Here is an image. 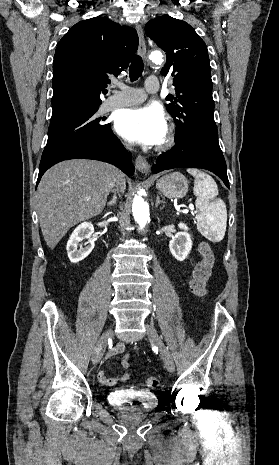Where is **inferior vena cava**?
<instances>
[{
  "mask_svg": "<svg viewBox=\"0 0 279 465\" xmlns=\"http://www.w3.org/2000/svg\"><path fill=\"white\" fill-rule=\"evenodd\" d=\"M131 144H126V147L131 149ZM119 171L113 167V175L111 176V179H110V183H109V189L110 191H118L119 190V183H118V180H117V175H118Z\"/></svg>",
  "mask_w": 279,
  "mask_h": 465,
  "instance_id": "1",
  "label": "inferior vena cava"
}]
</instances>
